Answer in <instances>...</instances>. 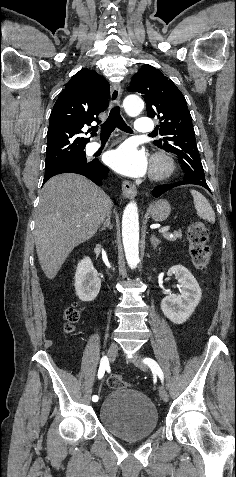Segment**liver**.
<instances>
[{"mask_svg":"<svg viewBox=\"0 0 236 477\" xmlns=\"http://www.w3.org/2000/svg\"><path fill=\"white\" fill-rule=\"evenodd\" d=\"M111 208L109 196L83 176L60 174L44 184L37 208L35 245L48 279L55 278L76 246L95 235Z\"/></svg>","mask_w":236,"mask_h":477,"instance_id":"1","label":"liver"}]
</instances>
